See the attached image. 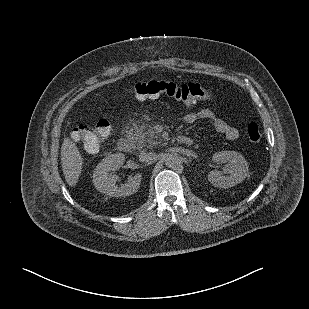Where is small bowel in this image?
Instances as JSON below:
<instances>
[{"mask_svg": "<svg viewBox=\"0 0 309 309\" xmlns=\"http://www.w3.org/2000/svg\"><path fill=\"white\" fill-rule=\"evenodd\" d=\"M186 106L189 107V105ZM198 120H209L213 124L215 130L223 134L228 140H235L239 136L236 128L229 125L225 120L218 117L207 108L199 109L197 111H191L185 116V121L189 124H192ZM97 147L98 146H96L93 150H90L89 152L95 151Z\"/></svg>", "mask_w": 309, "mask_h": 309, "instance_id": "obj_1", "label": "small bowel"}]
</instances>
